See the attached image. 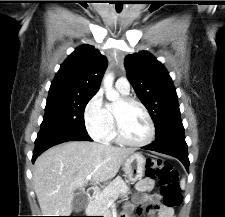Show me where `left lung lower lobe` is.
Here are the masks:
<instances>
[{"label":"left lung lower lobe","instance_id":"0a47b994","mask_svg":"<svg viewBox=\"0 0 225 217\" xmlns=\"http://www.w3.org/2000/svg\"><path fill=\"white\" fill-rule=\"evenodd\" d=\"M142 148L176 157L183 163L187 171L189 169V159L184 129L169 132L166 135L155 139V141L150 145Z\"/></svg>","mask_w":225,"mask_h":217}]
</instances>
